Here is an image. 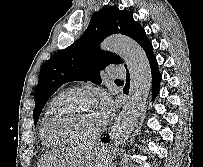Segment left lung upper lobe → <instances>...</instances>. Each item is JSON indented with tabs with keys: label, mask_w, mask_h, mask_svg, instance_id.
I'll use <instances>...</instances> for the list:
<instances>
[{
	"label": "left lung upper lobe",
	"mask_w": 203,
	"mask_h": 167,
	"mask_svg": "<svg viewBox=\"0 0 203 167\" xmlns=\"http://www.w3.org/2000/svg\"><path fill=\"white\" fill-rule=\"evenodd\" d=\"M124 34L143 46L149 41L145 30L129 10L107 6L93 14L83 35L69 47L57 51L44 63L35 90V124L51 95L64 83L89 80L101 84L100 70L109 64H120V56L100 49V43L111 34Z\"/></svg>",
	"instance_id": "5c2ea615"
}]
</instances>
